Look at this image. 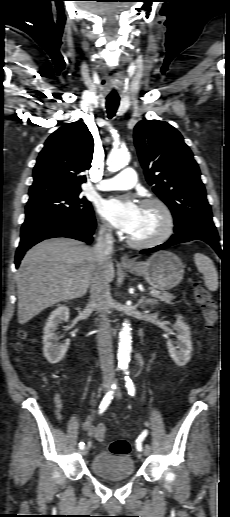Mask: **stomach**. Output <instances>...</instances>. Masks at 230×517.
Segmentation results:
<instances>
[{
  "label": "stomach",
  "mask_w": 230,
  "mask_h": 517,
  "mask_svg": "<svg viewBox=\"0 0 230 517\" xmlns=\"http://www.w3.org/2000/svg\"><path fill=\"white\" fill-rule=\"evenodd\" d=\"M125 270L142 276L154 288L169 290L177 286L184 275V265L180 258L169 251L154 253L148 260L138 262Z\"/></svg>",
  "instance_id": "stomach-1"
}]
</instances>
